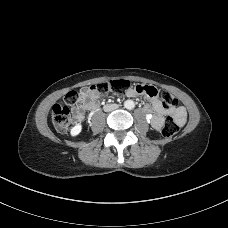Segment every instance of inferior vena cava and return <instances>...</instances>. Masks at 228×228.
<instances>
[{
  "mask_svg": "<svg viewBox=\"0 0 228 228\" xmlns=\"http://www.w3.org/2000/svg\"><path fill=\"white\" fill-rule=\"evenodd\" d=\"M117 108H118V105L117 104H107V105H105L103 107V109H104L105 112H111V111H113V110H115Z\"/></svg>",
  "mask_w": 228,
  "mask_h": 228,
  "instance_id": "inferior-vena-cava-1",
  "label": "inferior vena cava"
}]
</instances>
